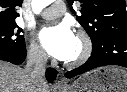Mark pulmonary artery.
<instances>
[{"mask_svg": "<svg viewBox=\"0 0 127 92\" xmlns=\"http://www.w3.org/2000/svg\"><path fill=\"white\" fill-rule=\"evenodd\" d=\"M65 12V5L62 1H54L50 7L42 12L45 19H53L61 16Z\"/></svg>", "mask_w": 127, "mask_h": 92, "instance_id": "e3ab8cb5", "label": "pulmonary artery"}]
</instances>
